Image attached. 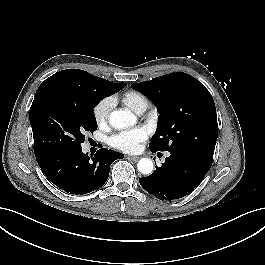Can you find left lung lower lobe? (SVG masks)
<instances>
[{"label":"left lung lower lobe","mask_w":265,"mask_h":265,"mask_svg":"<svg viewBox=\"0 0 265 265\" xmlns=\"http://www.w3.org/2000/svg\"><path fill=\"white\" fill-rule=\"evenodd\" d=\"M211 165L193 154L171 153L162 167H156L151 175L140 178L139 182L148 193L161 200L179 199L200 184Z\"/></svg>","instance_id":"0a47b994"}]
</instances>
